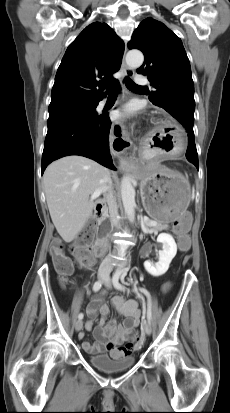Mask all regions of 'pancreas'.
Here are the masks:
<instances>
[{"mask_svg":"<svg viewBox=\"0 0 230 413\" xmlns=\"http://www.w3.org/2000/svg\"><path fill=\"white\" fill-rule=\"evenodd\" d=\"M151 222V221H150ZM150 222H148V225H150ZM155 230L161 231L169 228L168 224H162V223H157L155 226H153Z\"/></svg>","mask_w":230,"mask_h":413,"instance_id":"pancreas-1","label":"pancreas"}]
</instances>
